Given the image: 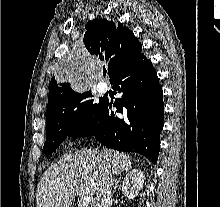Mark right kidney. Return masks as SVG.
Segmentation results:
<instances>
[{
  "label": "right kidney",
  "instance_id": "obj_1",
  "mask_svg": "<svg viewBox=\"0 0 220 207\" xmlns=\"http://www.w3.org/2000/svg\"><path fill=\"white\" fill-rule=\"evenodd\" d=\"M145 176L141 170L133 169L126 176L122 184V192L129 199H134L143 188Z\"/></svg>",
  "mask_w": 220,
  "mask_h": 207
}]
</instances>
